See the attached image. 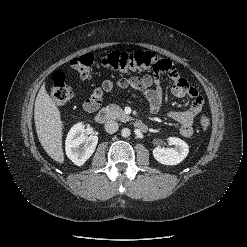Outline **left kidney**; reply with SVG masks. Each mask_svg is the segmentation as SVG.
Wrapping results in <instances>:
<instances>
[{"mask_svg":"<svg viewBox=\"0 0 247 247\" xmlns=\"http://www.w3.org/2000/svg\"><path fill=\"white\" fill-rule=\"evenodd\" d=\"M170 148L157 146L153 149L154 158L164 165H177L182 162L189 153V146L182 139L177 137H169L167 139Z\"/></svg>","mask_w":247,"mask_h":247,"instance_id":"5707ae66","label":"left kidney"}]
</instances>
